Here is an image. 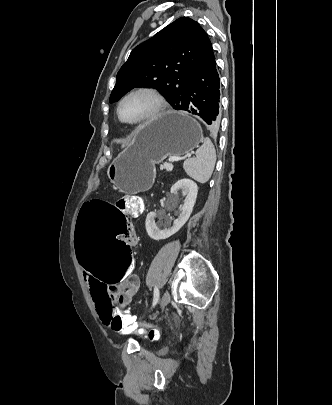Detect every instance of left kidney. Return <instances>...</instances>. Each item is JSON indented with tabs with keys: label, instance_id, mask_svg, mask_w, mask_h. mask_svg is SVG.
Wrapping results in <instances>:
<instances>
[{
	"label": "left kidney",
	"instance_id": "1",
	"mask_svg": "<svg viewBox=\"0 0 332 405\" xmlns=\"http://www.w3.org/2000/svg\"><path fill=\"white\" fill-rule=\"evenodd\" d=\"M178 191L182 192L183 196H186L184 200L183 206L180 208L181 212L178 219L174 220L172 226L164 229H160L156 223L155 218L159 216L160 218L163 217L162 213L156 214L155 212H150L145 221L146 231L150 238L153 240H162L169 238L176 232L180 230V228L188 221L192 211L194 204L196 202L197 193H198V186L193 181L183 178L176 182L172 188L171 193H177ZM162 226H169L170 221L166 220L164 223H161Z\"/></svg>",
	"mask_w": 332,
	"mask_h": 405
}]
</instances>
